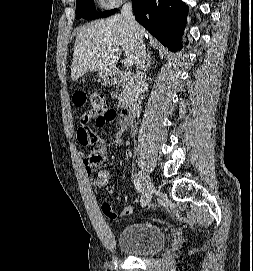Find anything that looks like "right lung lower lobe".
I'll return each instance as SVG.
<instances>
[{
  "label": "right lung lower lobe",
  "instance_id": "1",
  "mask_svg": "<svg viewBox=\"0 0 253 271\" xmlns=\"http://www.w3.org/2000/svg\"><path fill=\"white\" fill-rule=\"evenodd\" d=\"M135 19L169 50H181L187 6L181 0H133Z\"/></svg>",
  "mask_w": 253,
  "mask_h": 271
}]
</instances>
